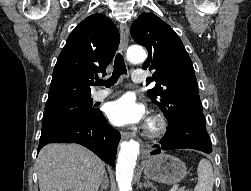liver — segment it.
Here are the masks:
<instances>
[{
	"label": "liver",
	"mask_w": 251,
	"mask_h": 191,
	"mask_svg": "<svg viewBox=\"0 0 251 191\" xmlns=\"http://www.w3.org/2000/svg\"><path fill=\"white\" fill-rule=\"evenodd\" d=\"M40 191H98L104 161L78 143H47L36 159Z\"/></svg>",
	"instance_id": "1"
}]
</instances>
